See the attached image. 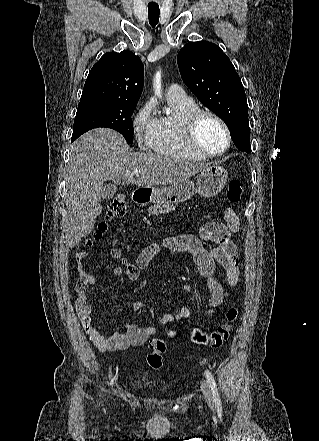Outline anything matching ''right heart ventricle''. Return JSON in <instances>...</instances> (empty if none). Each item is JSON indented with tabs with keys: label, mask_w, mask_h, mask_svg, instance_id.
Here are the masks:
<instances>
[{
	"label": "right heart ventricle",
	"mask_w": 319,
	"mask_h": 441,
	"mask_svg": "<svg viewBox=\"0 0 319 441\" xmlns=\"http://www.w3.org/2000/svg\"><path fill=\"white\" fill-rule=\"evenodd\" d=\"M172 114L157 119L156 132L151 151L157 155L201 161L205 159L191 152L184 144L182 128L185 118L198 109V105L190 98L186 100L169 99Z\"/></svg>",
	"instance_id": "1"
}]
</instances>
